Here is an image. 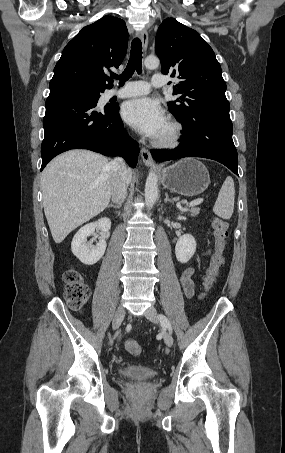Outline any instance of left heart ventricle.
<instances>
[{
	"label": "left heart ventricle",
	"mask_w": 285,
	"mask_h": 453,
	"mask_svg": "<svg viewBox=\"0 0 285 453\" xmlns=\"http://www.w3.org/2000/svg\"><path fill=\"white\" fill-rule=\"evenodd\" d=\"M168 130H169V128H168V125L166 124L165 127L163 128L161 134L159 135V137L165 136L168 133Z\"/></svg>",
	"instance_id": "obj_1"
}]
</instances>
